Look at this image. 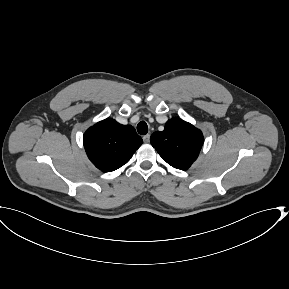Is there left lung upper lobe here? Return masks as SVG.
<instances>
[{
	"instance_id": "obj_1",
	"label": "left lung upper lobe",
	"mask_w": 289,
	"mask_h": 289,
	"mask_svg": "<svg viewBox=\"0 0 289 289\" xmlns=\"http://www.w3.org/2000/svg\"><path fill=\"white\" fill-rule=\"evenodd\" d=\"M152 146L172 167L187 170L197 159L203 145L202 132L188 122L172 118L163 131H157L150 138Z\"/></svg>"
}]
</instances>
